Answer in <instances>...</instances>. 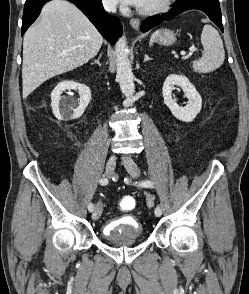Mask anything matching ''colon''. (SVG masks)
Returning a JSON list of instances; mask_svg holds the SVG:
<instances>
[{
    "label": "colon",
    "mask_w": 249,
    "mask_h": 294,
    "mask_svg": "<svg viewBox=\"0 0 249 294\" xmlns=\"http://www.w3.org/2000/svg\"><path fill=\"white\" fill-rule=\"evenodd\" d=\"M135 205V199L132 197H123L119 203V206L123 211H130L135 207Z\"/></svg>",
    "instance_id": "colon-1"
}]
</instances>
